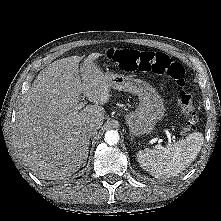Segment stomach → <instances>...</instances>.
Segmentation results:
<instances>
[{
	"label": "stomach",
	"mask_w": 221,
	"mask_h": 221,
	"mask_svg": "<svg viewBox=\"0 0 221 221\" xmlns=\"http://www.w3.org/2000/svg\"><path fill=\"white\" fill-rule=\"evenodd\" d=\"M109 87L138 96L139 105L125 116L130 133L140 136L151 133L165 113L163 99L146 81L130 75L106 73Z\"/></svg>",
	"instance_id": "stomach-1"
}]
</instances>
